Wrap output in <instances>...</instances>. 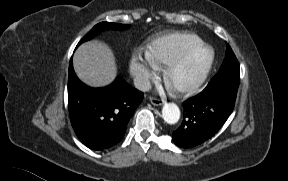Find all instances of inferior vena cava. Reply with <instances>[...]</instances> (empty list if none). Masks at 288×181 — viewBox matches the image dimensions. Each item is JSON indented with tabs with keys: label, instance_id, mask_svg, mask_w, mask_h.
<instances>
[{
	"label": "inferior vena cava",
	"instance_id": "obj_1",
	"mask_svg": "<svg viewBox=\"0 0 288 181\" xmlns=\"http://www.w3.org/2000/svg\"><path fill=\"white\" fill-rule=\"evenodd\" d=\"M134 86L143 92H147L151 89V83L145 76L139 75L134 78Z\"/></svg>",
	"mask_w": 288,
	"mask_h": 181
}]
</instances>
